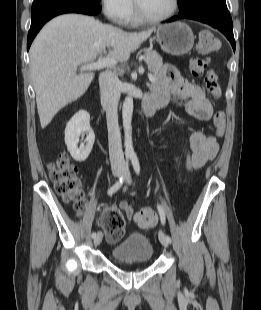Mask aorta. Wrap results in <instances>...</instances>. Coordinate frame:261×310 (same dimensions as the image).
<instances>
[{
  "label": "aorta",
  "mask_w": 261,
  "mask_h": 310,
  "mask_svg": "<svg viewBox=\"0 0 261 310\" xmlns=\"http://www.w3.org/2000/svg\"><path fill=\"white\" fill-rule=\"evenodd\" d=\"M132 115H133V98L128 95L122 107L123 128L125 136V153L127 156L134 155V148L132 143Z\"/></svg>",
  "instance_id": "1"
}]
</instances>
